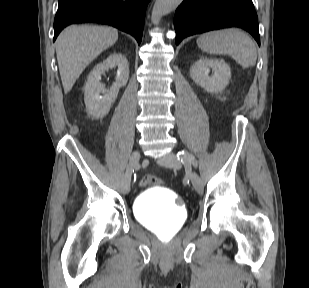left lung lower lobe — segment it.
Listing matches in <instances>:
<instances>
[{
    "mask_svg": "<svg viewBox=\"0 0 309 288\" xmlns=\"http://www.w3.org/2000/svg\"><path fill=\"white\" fill-rule=\"evenodd\" d=\"M176 44L193 34L240 27L260 45L258 18L252 0H184L174 17Z\"/></svg>",
    "mask_w": 309,
    "mask_h": 288,
    "instance_id": "0a47b994",
    "label": "left lung lower lobe"
}]
</instances>
